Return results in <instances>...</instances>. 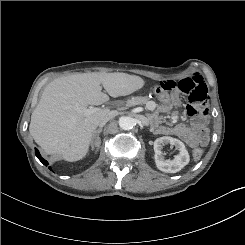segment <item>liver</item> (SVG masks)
<instances>
[{
  "label": "liver",
  "instance_id": "obj_1",
  "mask_svg": "<svg viewBox=\"0 0 245 245\" xmlns=\"http://www.w3.org/2000/svg\"><path fill=\"white\" fill-rule=\"evenodd\" d=\"M145 81L126 73H76L50 82L32 112L29 131L35 142L47 153L68 161L86 156L96 128L109 113L99 109L86 115L89 105H101L111 97L132 94Z\"/></svg>",
  "mask_w": 245,
  "mask_h": 245
}]
</instances>
